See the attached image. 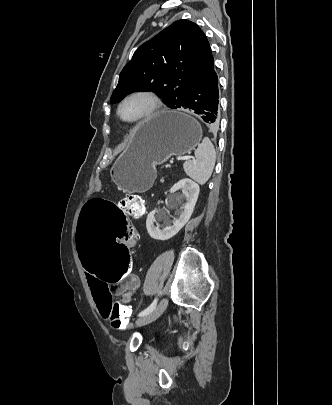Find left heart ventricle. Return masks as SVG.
Here are the masks:
<instances>
[{
    "label": "left heart ventricle",
    "instance_id": "left-heart-ventricle-1",
    "mask_svg": "<svg viewBox=\"0 0 332 405\" xmlns=\"http://www.w3.org/2000/svg\"><path fill=\"white\" fill-rule=\"evenodd\" d=\"M149 107V101L142 97L128 100L122 107V116L126 119H134L144 114Z\"/></svg>",
    "mask_w": 332,
    "mask_h": 405
}]
</instances>
